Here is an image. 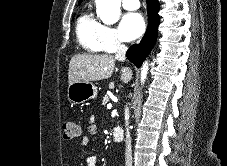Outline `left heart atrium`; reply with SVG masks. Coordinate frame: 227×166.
<instances>
[{
	"instance_id": "1",
	"label": "left heart atrium",
	"mask_w": 227,
	"mask_h": 166,
	"mask_svg": "<svg viewBox=\"0 0 227 166\" xmlns=\"http://www.w3.org/2000/svg\"><path fill=\"white\" fill-rule=\"evenodd\" d=\"M145 30V21L139 13H128L120 21L119 32L123 40L133 41Z\"/></svg>"
}]
</instances>
